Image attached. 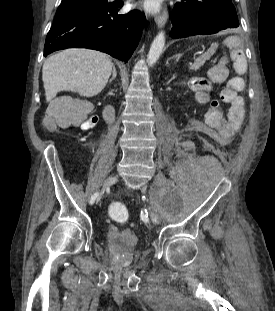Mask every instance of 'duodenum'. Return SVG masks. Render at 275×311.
Masks as SVG:
<instances>
[{
	"label": "duodenum",
	"instance_id": "duodenum-1",
	"mask_svg": "<svg viewBox=\"0 0 275 311\" xmlns=\"http://www.w3.org/2000/svg\"><path fill=\"white\" fill-rule=\"evenodd\" d=\"M104 118L107 122H111L114 118V108L111 105H108L104 109Z\"/></svg>",
	"mask_w": 275,
	"mask_h": 311
}]
</instances>
